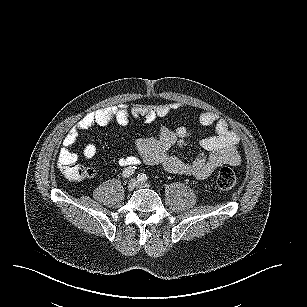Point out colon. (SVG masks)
Masks as SVG:
<instances>
[{
    "label": "colon",
    "mask_w": 307,
    "mask_h": 307,
    "mask_svg": "<svg viewBox=\"0 0 307 307\" xmlns=\"http://www.w3.org/2000/svg\"><path fill=\"white\" fill-rule=\"evenodd\" d=\"M61 170L67 178L73 181H81L87 178H92L95 175L94 168L83 166L76 162L62 165ZM215 182L221 190H230L236 186L237 179L231 168L222 167L216 174Z\"/></svg>",
    "instance_id": "colon-1"
}]
</instances>
